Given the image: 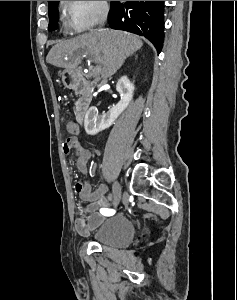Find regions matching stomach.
<instances>
[{"label":"stomach","instance_id":"obj_1","mask_svg":"<svg viewBox=\"0 0 237 300\" xmlns=\"http://www.w3.org/2000/svg\"><path fill=\"white\" fill-rule=\"evenodd\" d=\"M65 73H67V71H64V73H63V79H66Z\"/></svg>","mask_w":237,"mask_h":300}]
</instances>
